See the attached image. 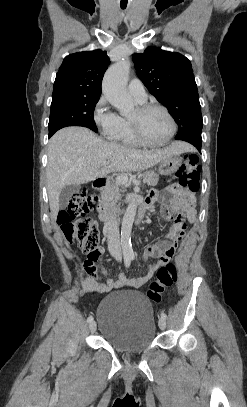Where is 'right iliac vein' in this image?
<instances>
[{
	"instance_id": "obj_1",
	"label": "right iliac vein",
	"mask_w": 247,
	"mask_h": 407,
	"mask_svg": "<svg viewBox=\"0 0 247 407\" xmlns=\"http://www.w3.org/2000/svg\"><path fill=\"white\" fill-rule=\"evenodd\" d=\"M89 330H90L91 333H94L96 331V323L94 321H92L89 324Z\"/></svg>"
}]
</instances>
